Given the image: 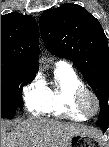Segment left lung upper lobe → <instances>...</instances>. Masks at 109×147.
I'll return each mask as SVG.
<instances>
[{"label": "left lung upper lobe", "instance_id": "5c2ea615", "mask_svg": "<svg viewBox=\"0 0 109 147\" xmlns=\"http://www.w3.org/2000/svg\"><path fill=\"white\" fill-rule=\"evenodd\" d=\"M46 48L71 60L83 74L100 101L97 125L109 124V47L99 23L77 4L46 10L39 19Z\"/></svg>", "mask_w": 109, "mask_h": 147}]
</instances>
